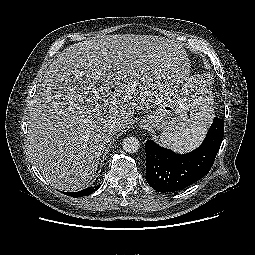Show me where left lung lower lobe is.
Masks as SVG:
<instances>
[{
	"label": "left lung lower lobe",
	"instance_id": "1",
	"mask_svg": "<svg viewBox=\"0 0 255 255\" xmlns=\"http://www.w3.org/2000/svg\"><path fill=\"white\" fill-rule=\"evenodd\" d=\"M224 134V120L215 117L203 143L187 154H177L148 140L146 180L159 192L184 189L204 177L211 169Z\"/></svg>",
	"mask_w": 255,
	"mask_h": 255
}]
</instances>
